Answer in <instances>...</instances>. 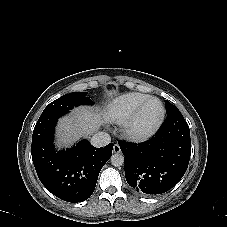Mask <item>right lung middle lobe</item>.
<instances>
[{"label": "right lung middle lobe", "mask_w": 227, "mask_h": 227, "mask_svg": "<svg viewBox=\"0 0 227 227\" xmlns=\"http://www.w3.org/2000/svg\"><path fill=\"white\" fill-rule=\"evenodd\" d=\"M88 92H75L63 95L62 97L51 102L44 109L42 114L46 113H66L74 106L92 105L93 101L87 97Z\"/></svg>", "instance_id": "right-lung-middle-lobe-1"}]
</instances>
